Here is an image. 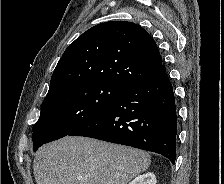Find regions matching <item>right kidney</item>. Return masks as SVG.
I'll return each instance as SVG.
<instances>
[{"mask_svg": "<svg viewBox=\"0 0 224 184\" xmlns=\"http://www.w3.org/2000/svg\"><path fill=\"white\" fill-rule=\"evenodd\" d=\"M157 180L153 173L148 172L142 175L137 176L133 181L129 184H156Z\"/></svg>", "mask_w": 224, "mask_h": 184, "instance_id": "obj_1", "label": "right kidney"}]
</instances>
